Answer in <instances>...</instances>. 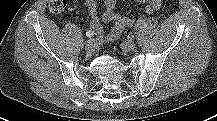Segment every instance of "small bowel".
<instances>
[{
    "instance_id": "1",
    "label": "small bowel",
    "mask_w": 217,
    "mask_h": 121,
    "mask_svg": "<svg viewBox=\"0 0 217 121\" xmlns=\"http://www.w3.org/2000/svg\"><path fill=\"white\" fill-rule=\"evenodd\" d=\"M138 3H146L145 11L152 14L159 10L162 6V0H134ZM102 2L105 10L102 14V20L106 23L113 22L112 29L106 33L101 25L98 16V3ZM85 6L91 17L90 28L91 31L97 36L98 43H109L118 39L123 31L134 25V18L123 16L116 11L117 0H84Z\"/></svg>"
}]
</instances>
